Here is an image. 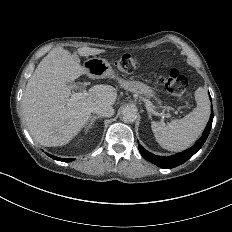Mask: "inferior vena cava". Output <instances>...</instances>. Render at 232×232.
I'll return each mask as SVG.
<instances>
[{
  "label": "inferior vena cava",
  "mask_w": 232,
  "mask_h": 232,
  "mask_svg": "<svg viewBox=\"0 0 232 232\" xmlns=\"http://www.w3.org/2000/svg\"><path fill=\"white\" fill-rule=\"evenodd\" d=\"M94 112L99 116L111 117L114 114V109L111 105L100 103L94 107Z\"/></svg>",
  "instance_id": "obj_1"
}]
</instances>
